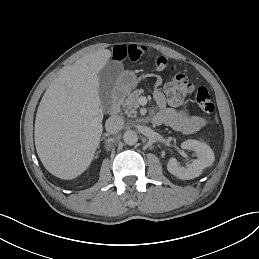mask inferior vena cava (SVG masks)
<instances>
[{
  "instance_id": "602c4592",
  "label": "inferior vena cava",
  "mask_w": 259,
  "mask_h": 259,
  "mask_svg": "<svg viewBox=\"0 0 259 259\" xmlns=\"http://www.w3.org/2000/svg\"><path fill=\"white\" fill-rule=\"evenodd\" d=\"M124 127V119L121 116H111L106 121V129L111 133H118Z\"/></svg>"
}]
</instances>
